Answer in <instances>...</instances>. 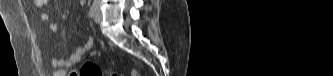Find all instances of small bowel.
Listing matches in <instances>:
<instances>
[{"instance_id": "1", "label": "small bowel", "mask_w": 333, "mask_h": 76, "mask_svg": "<svg viewBox=\"0 0 333 76\" xmlns=\"http://www.w3.org/2000/svg\"><path fill=\"white\" fill-rule=\"evenodd\" d=\"M37 5L40 7H44L47 5V0H37ZM81 4H84V1H81ZM41 19L43 21H49L50 16L47 12L42 11L40 15ZM51 29L53 31H56L57 27L55 24L50 25ZM94 44V40L92 36H89L85 43L78 45L73 53L67 58H53L51 60V66L53 68V76H65L66 75V69H69L73 67L75 64H77L84 54L89 51ZM69 76H83L82 72H79L78 68H71Z\"/></svg>"}]
</instances>
